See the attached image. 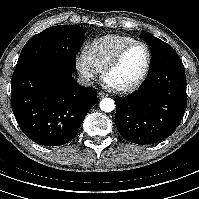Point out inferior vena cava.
Here are the masks:
<instances>
[{
	"instance_id": "inferior-vena-cava-1",
	"label": "inferior vena cava",
	"mask_w": 199,
	"mask_h": 199,
	"mask_svg": "<svg viewBox=\"0 0 199 199\" xmlns=\"http://www.w3.org/2000/svg\"><path fill=\"white\" fill-rule=\"evenodd\" d=\"M77 82L80 85L85 86V87H89L93 85L92 80L89 77L84 76V75H79V77L77 78Z\"/></svg>"
}]
</instances>
